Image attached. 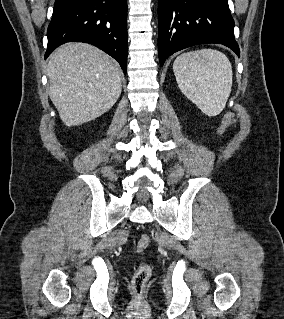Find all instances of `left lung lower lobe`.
<instances>
[{
    "label": "left lung lower lobe",
    "instance_id": "left-lung-lower-lobe-1",
    "mask_svg": "<svg viewBox=\"0 0 284 319\" xmlns=\"http://www.w3.org/2000/svg\"><path fill=\"white\" fill-rule=\"evenodd\" d=\"M161 66L171 54L204 43L223 44L238 56L228 0H158Z\"/></svg>",
    "mask_w": 284,
    "mask_h": 319
}]
</instances>
